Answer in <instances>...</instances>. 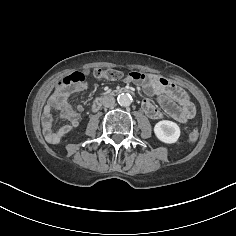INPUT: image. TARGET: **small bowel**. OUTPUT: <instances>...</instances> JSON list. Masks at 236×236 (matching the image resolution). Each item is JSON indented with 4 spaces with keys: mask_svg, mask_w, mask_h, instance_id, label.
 Instances as JSON below:
<instances>
[{
    "mask_svg": "<svg viewBox=\"0 0 236 236\" xmlns=\"http://www.w3.org/2000/svg\"><path fill=\"white\" fill-rule=\"evenodd\" d=\"M132 73V72H131ZM70 75L64 77L58 88L47 100L42 113V130L48 143L57 144L79 125L81 112L84 106L79 104L76 108L69 103L71 96L84 93L87 90L85 82L69 84ZM128 83L140 82L147 94L158 97L163 111L159 110L151 100L145 99L142 103L144 112L154 120L170 117L181 124H186L194 115L195 107L186 92L165 77L158 75H145L140 81L132 80L129 75L125 78ZM59 112L60 119L66 124L53 129L52 111Z\"/></svg>",
    "mask_w": 236,
    "mask_h": 236,
    "instance_id": "small-bowel-1",
    "label": "small bowel"
}]
</instances>
